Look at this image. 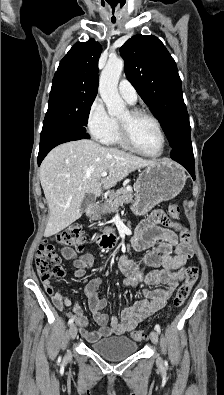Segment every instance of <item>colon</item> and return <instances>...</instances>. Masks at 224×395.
Instances as JSON below:
<instances>
[{"mask_svg": "<svg viewBox=\"0 0 224 395\" xmlns=\"http://www.w3.org/2000/svg\"><path fill=\"white\" fill-rule=\"evenodd\" d=\"M168 212L172 218H178L180 207L177 204H170ZM54 241L68 247L81 248L85 242L83 231L78 226H71L60 231ZM36 268L42 280H50L52 277L61 278L65 275V269L61 265V259L56 253L54 245L48 241L43 242L36 254ZM198 279V268L190 266L185 271V279L177 288L173 298V306L180 308L188 298L195 282ZM135 341H143L146 338L145 330H135L132 333Z\"/></svg>", "mask_w": 224, "mask_h": 395, "instance_id": "1", "label": "colon"}]
</instances>
